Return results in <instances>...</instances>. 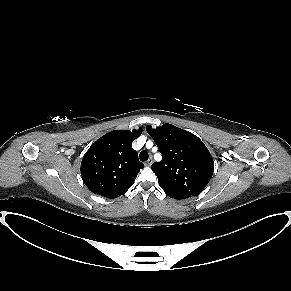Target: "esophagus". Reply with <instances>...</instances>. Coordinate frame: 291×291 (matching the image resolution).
Segmentation results:
<instances>
[{
	"label": "esophagus",
	"mask_w": 291,
	"mask_h": 291,
	"mask_svg": "<svg viewBox=\"0 0 291 291\" xmlns=\"http://www.w3.org/2000/svg\"><path fill=\"white\" fill-rule=\"evenodd\" d=\"M152 163H153V159H152V158H149V159L145 162V165H146V166H151Z\"/></svg>",
	"instance_id": "obj_1"
}]
</instances>
